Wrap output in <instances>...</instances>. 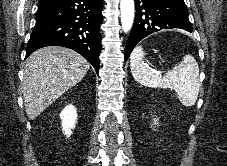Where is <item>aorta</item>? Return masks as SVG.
<instances>
[{
    "label": "aorta",
    "instance_id": "1",
    "mask_svg": "<svg viewBox=\"0 0 227 166\" xmlns=\"http://www.w3.org/2000/svg\"><path fill=\"white\" fill-rule=\"evenodd\" d=\"M120 10L122 29L127 33L134 21V0H120Z\"/></svg>",
    "mask_w": 227,
    "mask_h": 166
}]
</instances>
